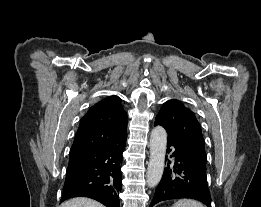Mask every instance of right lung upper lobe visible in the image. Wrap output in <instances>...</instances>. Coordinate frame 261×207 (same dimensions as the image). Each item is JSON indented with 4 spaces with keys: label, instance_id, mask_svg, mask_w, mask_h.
<instances>
[{
    "label": "right lung upper lobe",
    "instance_id": "cb5924a9",
    "mask_svg": "<svg viewBox=\"0 0 261 207\" xmlns=\"http://www.w3.org/2000/svg\"><path fill=\"white\" fill-rule=\"evenodd\" d=\"M127 113L117 96L92 106L80 120L69 159L116 146L127 138Z\"/></svg>",
    "mask_w": 261,
    "mask_h": 207
}]
</instances>
